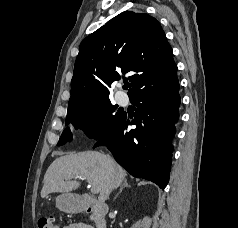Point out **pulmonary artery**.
<instances>
[{
	"label": "pulmonary artery",
	"instance_id": "pulmonary-artery-1",
	"mask_svg": "<svg viewBox=\"0 0 238 228\" xmlns=\"http://www.w3.org/2000/svg\"><path fill=\"white\" fill-rule=\"evenodd\" d=\"M117 101L120 104H125L127 102V98H126V96H124L122 94H117Z\"/></svg>",
	"mask_w": 238,
	"mask_h": 228
}]
</instances>
